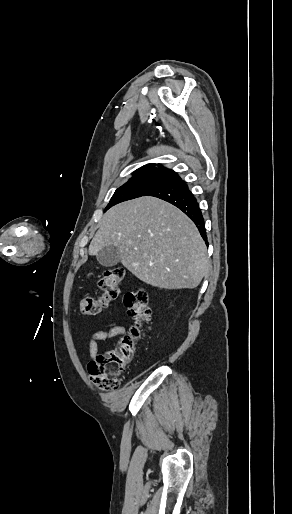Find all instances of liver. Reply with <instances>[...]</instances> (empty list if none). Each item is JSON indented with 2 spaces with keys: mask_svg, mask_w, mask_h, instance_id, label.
Instances as JSON below:
<instances>
[{
  "mask_svg": "<svg viewBox=\"0 0 292 514\" xmlns=\"http://www.w3.org/2000/svg\"><path fill=\"white\" fill-rule=\"evenodd\" d=\"M103 246H116L124 268L156 288H197L211 268L195 224L152 196L117 204L104 214L89 256Z\"/></svg>",
  "mask_w": 292,
  "mask_h": 514,
  "instance_id": "1",
  "label": "liver"
}]
</instances>
